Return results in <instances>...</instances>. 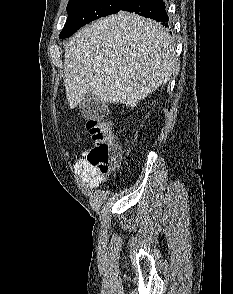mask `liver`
<instances>
[{"label": "liver", "instance_id": "liver-1", "mask_svg": "<svg viewBox=\"0 0 233 294\" xmlns=\"http://www.w3.org/2000/svg\"><path fill=\"white\" fill-rule=\"evenodd\" d=\"M177 64L165 28L120 11L79 30L64 55V85L70 108L92 92L102 103L132 109L167 83Z\"/></svg>", "mask_w": 233, "mask_h": 294}]
</instances>
